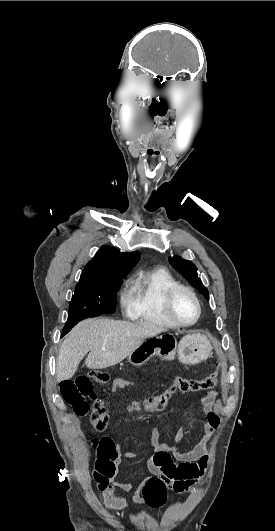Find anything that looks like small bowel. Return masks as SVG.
<instances>
[{
  "label": "small bowel",
  "mask_w": 275,
  "mask_h": 531,
  "mask_svg": "<svg viewBox=\"0 0 275 531\" xmlns=\"http://www.w3.org/2000/svg\"><path fill=\"white\" fill-rule=\"evenodd\" d=\"M123 374H111L109 381L114 383L113 388L117 392H125L129 385L125 382ZM135 380V377H130ZM141 380V377H138ZM217 391H208L200 395V402L203 408V431L201 440L190 450L181 451L179 445L182 440L184 428H180L172 443L160 441L161 433L154 430L151 434V446L153 454L147 459L146 467L148 471H157L159 477L163 478L166 485L175 493L182 494L192 489L196 481L205 473L209 456L207 454L208 443L213 437L220 424V417L214 410ZM108 443H114L110 437H102L93 442L94 447H99ZM136 456L134 451H127L119 456L115 465H120L123 460H131ZM97 482L99 497L101 502L111 511L124 512L129 509V503L120 492L132 493V500L137 506L145 504L141 495V484L118 481L116 474L108 479L93 473Z\"/></svg>",
  "instance_id": "obj_1"
}]
</instances>
